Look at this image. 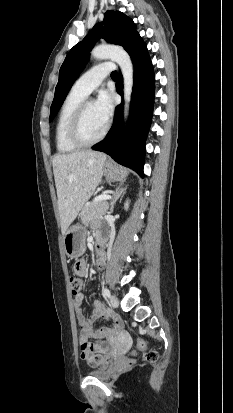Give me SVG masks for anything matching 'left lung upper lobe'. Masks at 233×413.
I'll use <instances>...</instances> for the list:
<instances>
[{
    "instance_id": "1",
    "label": "left lung upper lobe",
    "mask_w": 233,
    "mask_h": 413,
    "mask_svg": "<svg viewBox=\"0 0 233 413\" xmlns=\"http://www.w3.org/2000/svg\"><path fill=\"white\" fill-rule=\"evenodd\" d=\"M135 28L132 19L125 14L107 11L103 22L96 24L86 37L69 51L59 71L49 121L55 117L74 81L84 69L89 58L88 53L95 42L102 37L110 43L124 47L129 53L143 42Z\"/></svg>"
}]
</instances>
